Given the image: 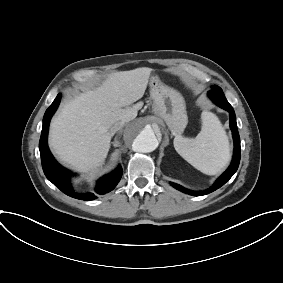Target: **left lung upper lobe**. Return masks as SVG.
Masks as SVG:
<instances>
[{"mask_svg":"<svg viewBox=\"0 0 283 283\" xmlns=\"http://www.w3.org/2000/svg\"><path fill=\"white\" fill-rule=\"evenodd\" d=\"M209 96L211 98H218V99H224L225 98L222 89L217 85L212 86V90L209 91Z\"/></svg>","mask_w":283,"mask_h":283,"instance_id":"1","label":"left lung upper lobe"}]
</instances>
